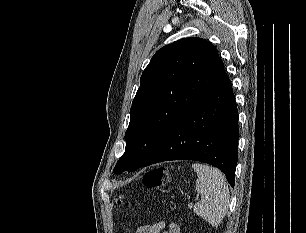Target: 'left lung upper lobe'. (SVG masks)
I'll return each instance as SVG.
<instances>
[{
	"label": "left lung upper lobe",
	"instance_id": "left-lung-upper-lobe-1",
	"mask_svg": "<svg viewBox=\"0 0 306 233\" xmlns=\"http://www.w3.org/2000/svg\"><path fill=\"white\" fill-rule=\"evenodd\" d=\"M223 69L216 48L202 38L180 39L158 50L142 73L125 153L114 172L141 167Z\"/></svg>",
	"mask_w": 306,
	"mask_h": 233
}]
</instances>
